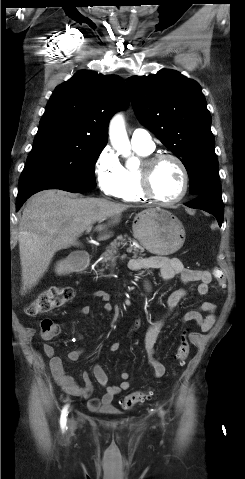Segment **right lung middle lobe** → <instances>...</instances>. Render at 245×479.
I'll return each instance as SVG.
<instances>
[{
	"instance_id": "1",
	"label": "right lung middle lobe",
	"mask_w": 245,
	"mask_h": 479,
	"mask_svg": "<svg viewBox=\"0 0 245 479\" xmlns=\"http://www.w3.org/2000/svg\"><path fill=\"white\" fill-rule=\"evenodd\" d=\"M105 146L65 130H38L19 180L54 179L94 189V167Z\"/></svg>"
}]
</instances>
